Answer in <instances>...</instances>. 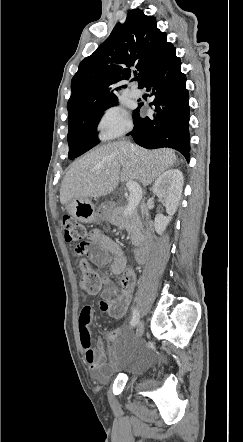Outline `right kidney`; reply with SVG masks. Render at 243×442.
Returning <instances> with one entry per match:
<instances>
[{"instance_id":"1","label":"right kidney","mask_w":243,"mask_h":442,"mask_svg":"<svg viewBox=\"0 0 243 442\" xmlns=\"http://www.w3.org/2000/svg\"><path fill=\"white\" fill-rule=\"evenodd\" d=\"M184 177L180 170L170 169L164 172L153 185V193L164 203L168 216L157 214L154 220V228L161 235L172 216L177 211L181 200Z\"/></svg>"}]
</instances>
